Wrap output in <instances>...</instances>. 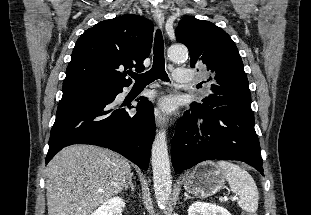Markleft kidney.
Segmentation results:
<instances>
[{
	"label": "left kidney",
	"instance_id": "1",
	"mask_svg": "<svg viewBox=\"0 0 311 215\" xmlns=\"http://www.w3.org/2000/svg\"><path fill=\"white\" fill-rule=\"evenodd\" d=\"M188 215H231L225 208L215 204L195 202L189 206Z\"/></svg>",
	"mask_w": 311,
	"mask_h": 215
}]
</instances>
